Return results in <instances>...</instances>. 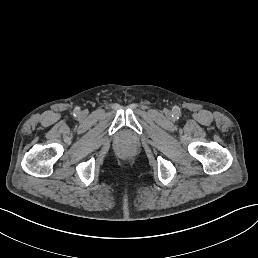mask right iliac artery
Wrapping results in <instances>:
<instances>
[{"mask_svg":"<svg viewBox=\"0 0 258 258\" xmlns=\"http://www.w3.org/2000/svg\"><path fill=\"white\" fill-rule=\"evenodd\" d=\"M80 112H81L80 107H75V109L73 110V115L75 117H78L80 115Z\"/></svg>","mask_w":258,"mask_h":258,"instance_id":"82829eb1","label":"right iliac artery"}]
</instances>
